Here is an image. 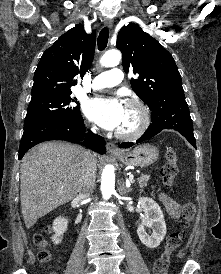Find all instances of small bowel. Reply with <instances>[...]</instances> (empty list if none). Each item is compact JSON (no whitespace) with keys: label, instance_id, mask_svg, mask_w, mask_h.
I'll return each mask as SVG.
<instances>
[{"label":"small bowel","instance_id":"1","mask_svg":"<svg viewBox=\"0 0 221 274\" xmlns=\"http://www.w3.org/2000/svg\"><path fill=\"white\" fill-rule=\"evenodd\" d=\"M158 197L160 201L163 203L167 213L174 219H177L181 215L182 208L181 206L172 200L168 195L165 193H159Z\"/></svg>","mask_w":221,"mask_h":274}]
</instances>
